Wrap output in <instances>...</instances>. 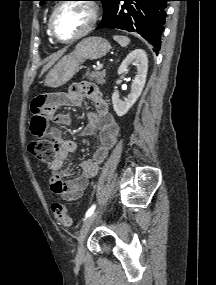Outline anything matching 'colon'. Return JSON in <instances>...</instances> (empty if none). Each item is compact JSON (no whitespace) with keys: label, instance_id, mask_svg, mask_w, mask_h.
<instances>
[{"label":"colon","instance_id":"1","mask_svg":"<svg viewBox=\"0 0 216 285\" xmlns=\"http://www.w3.org/2000/svg\"><path fill=\"white\" fill-rule=\"evenodd\" d=\"M30 142L29 150L38 160L44 163H50L55 157V149L53 144H46V141H40V136ZM52 212L57 221L63 227H70L72 220L68 214L67 206L60 201H56L51 206Z\"/></svg>","mask_w":216,"mask_h":285}]
</instances>
